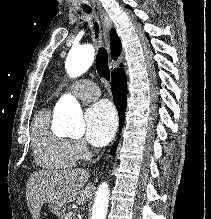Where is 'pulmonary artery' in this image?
Listing matches in <instances>:
<instances>
[{
  "label": "pulmonary artery",
  "instance_id": "pulmonary-artery-1",
  "mask_svg": "<svg viewBox=\"0 0 211 219\" xmlns=\"http://www.w3.org/2000/svg\"><path fill=\"white\" fill-rule=\"evenodd\" d=\"M66 88L73 92L79 99L85 101H92L100 96L99 87L95 83L86 79L73 82Z\"/></svg>",
  "mask_w": 211,
  "mask_h": 219
}]
</instances>
